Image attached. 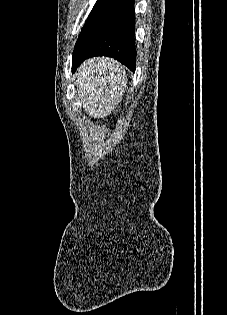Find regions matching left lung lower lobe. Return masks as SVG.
Returning a JSON list of instances; mask_svg holds the SVG:
<instances>
[{"instance_id": "left-lung-lower-lobe-1", "label": "left lung lower lobe", "mask_w": 227, "mask_h": 315, "mask_svg": "<svg viewBox=\"0 0 227 315\" xmlns=\"http://www.w3.org/2000/svg\"><path fill=\"white\" fill-rule=\"evenodd\" d=\"M134 0H98L75 44L72 71L94 56L112 57L135 72Z\"/></svg>"}]
</instances>
